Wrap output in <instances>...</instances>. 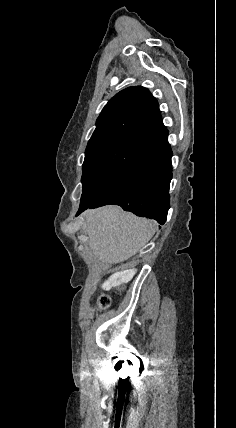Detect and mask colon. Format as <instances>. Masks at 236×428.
<instances>
[{
    "mask_svg": "<svg viewBox=\"0 0 236 428\" xmlns=\"http://www.w3.org/2000/svg\"><path fill=\"white\" fill-rule=\"evenodd\" d=\"M111 300L107 296H101L98 299V305L101 309H106L110 306Z\"/></svg>",
    "mask_w": 236,
    "mask_h": 428,
    "instance_id": "obj_1",
    "label": "colon"
}]
</instances>
